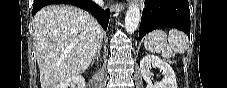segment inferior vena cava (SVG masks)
<instances>
[{
  "label": "inferior vena cava",
  "mask_w": 227,
  "mask_h": 88,
  "mask_svg": "<svg viewBox=\"0 0 227 88\" xmlns=\"http://www.w3.org/2000/svg\"><path fill=\"white\" fill-rule=\"evenodd\" d=\"M97 4H98L99 6H101V7H103V6H104V3H103V1H102V0L97 1Z\"/></svg>",
  "instance_id": "1"
}]
</instances>
